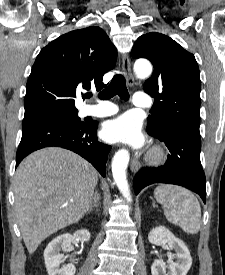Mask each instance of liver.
I'll use <instances>...</instances> for the list:
<instances>
[{
	"mask_svg": "<svg viewBox=\"0 0 225 275\" xmlns=\"http://www.w3.org/2000/svg\"><path fill=\"white\" fill-rule=\"evenodd\" d=\"M97 182L96 169L63 148L38 150L20 163L14 177L15 211L30 254L86 214Z\"/></svg>",
	"mask_w": 225,
	"mask_h": 275,
	"instance_id": "1",
	"label": "liver"
}]
</instances>
